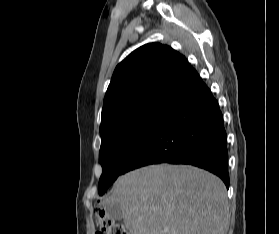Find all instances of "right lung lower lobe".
Wrapping results in <instances>:
<instances>
[{"instance_id":"98d812e1","label":"right lung lower lobe","mask_w":279,"mask_h":234,"mask_svg":"<svg viewBox=\"0 0 279 234\" xmlns=\"http://www.w3.org/2000/svg\"><path fill=\"white\" fill-rule=\"evenodd\" d=\"M226 138L218 102L199 78L168 107L122 174L150 164H190L216 174L228 188Z\"/></svg>"}]
</instances>
